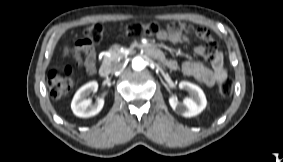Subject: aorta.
Returning <instances> with one entry per match:
<instances>
[{"label": "aorta", "mask_w": 283, "mask_h": 162, "mask_svg": "<svg viewBox=\"0 0 283 162\" xmlns=\"http://www.w3.org/2000/svg\"><path fill=\"white\" fill-rule=\"evenodd\" d=\"M145 67V61L141 57H135L132 60V68L134 70H142Z\"/></svg>", "instance_id": "762f6f07"}]
</instances>
